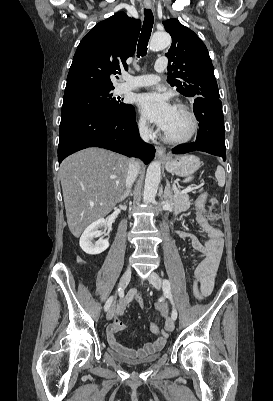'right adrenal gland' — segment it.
Listing matches in <instances>:
<instances>
[{"label": "right adrenal gland", "instance_id": "2a0ac1e0", "mask_svg": "<svg viewBox=\"0 0 273 401\" xmlns=\"http://www.w3.org/2000/svg\"><path fill=\"white\" fill-rule=\"evenodd\" d=\"M128 192H130V188H127L126 192H124L123 196H121V201H124V198L127 196Z\"/></svg>", "mask_w": 273, "mask_h": 401}]
</instances>
